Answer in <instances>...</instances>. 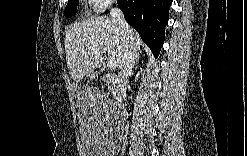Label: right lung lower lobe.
Listing matches in <instances>:
<instances>
[{
  "instance_id": "right-lung-lower-lobe-1",
  "label": "right lung lower lobe",
  "mask_w": 247,
  "mask_h": 156,
  "mask_svg": "<svg viewBox=\"0 0 247 156\" xmlns=\"http://www.w3.org/2000/svg\"><path fill=\"white\" fill-rule=\"evenodd\" d=\"M125 20L136 29L157 57L164 43L172 0H117Z\"/></svg>"
}]
</instances>
